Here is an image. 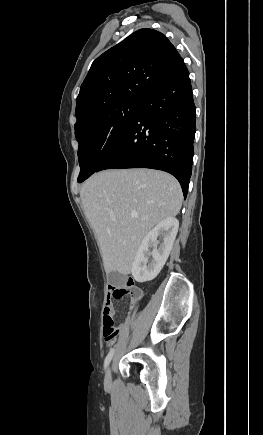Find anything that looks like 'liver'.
I'll return each instance as SVG.
<instances>
[{
	"mask_svg": "<svg viewBox=\"0 0 263 435\" xmlns=\"http://www.w3.org/2000/svg\"><path fill=\"white\" fill-rule=\"evenodd\" d=\"M80 198L107 273L130 274L147 233L182 206L180 184L152 169L104 170L82 186ZM115 219L116 221H114Z\"/></svg>",
	"mask_w": 263,
	"mask_h": 435,
	"instance_id": "liver-1",
	"label": "liver"
}]
</instances>
